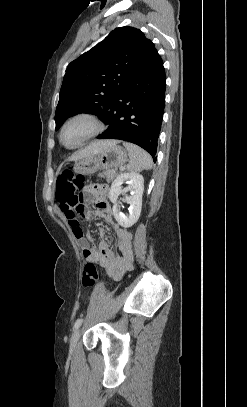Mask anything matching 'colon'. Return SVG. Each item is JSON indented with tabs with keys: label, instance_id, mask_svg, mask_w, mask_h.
Masks as SVG:
<instances>
[{
	"label": "colon",
	"instance_id": "5ec220e1",
	"mask_svg": "<svg viewBox=\"0 0 247 407\" xmlns=\"http://www.w3.org/2000/svg\"><path fill=\"white\" fill-rule=\"evenodd\" d=\"M84 178L76 175L72 170L63 171L56 182V200L60 203L75 201L83 188ZM99 274L94 263L88 262L82 273V285L84 287L93 286L98 280Z\"/></svg>",
	"mask_w": 247,
	"mask_h": 407
}]
</instances>
